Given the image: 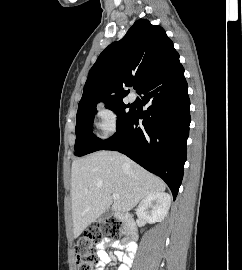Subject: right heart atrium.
<instances>
[{
  "label": "right heart atrium",
  "instance_id": "d8ad5b80",
  "mask_svg": "<svg viewBox=\"0 0 242 270\" xmlns=\"http://www.w3.org/2000/svg\"><path fill=\"white\" fill-rule=\"evenodd\" d=\"M97 128L102 138H109L116 133L118 116L116 112L106 106H100L97 111Z\"/></svg>",
  "mask_w": 242,
  "mask_h": 270
}]
</instances>
